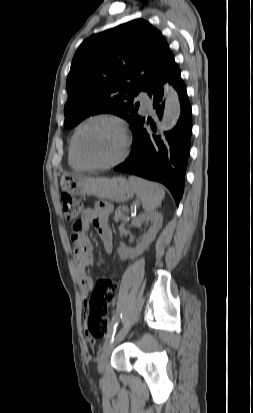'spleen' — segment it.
Masks as SVG:
<instances>
[{
	"mask_svg": "<svg viewBox=\"0 0 253 413\" xmlns=\"http://www.w3.org/2000/svg\"><path fill=\"white\" fill-rule=\"evenodd\" d=\"M129 182L136 195L141 199L144 210L152 212L160 206L165 197L162 186L137 176H130Z\"/></svg>",
	"mask_w": 253,
	"mask_h": 413,
	"instance_id": "spleen-1",
	"label": "spleen"
}]
</instances>
